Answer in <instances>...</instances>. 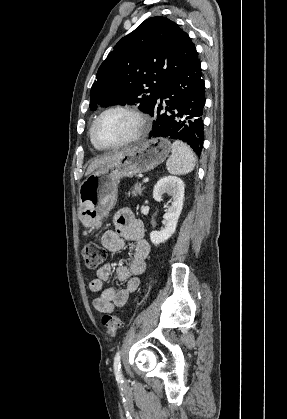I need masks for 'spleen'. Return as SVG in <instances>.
<instances>
[{
	"instance_id": "obj_1",
	"label": "spleen",
	"mask_w": 287,
	"mask_h": 419,
	"mask_svg": "<svg viewBox=\"0 0 287 419\" xmlns=\"http://www.w3.org/2000/svg\"><path fill=\"white\" fill-rule=\"evenodd\" d=\"M172 154L166 162L167 170L173 175H185L195 168L196 158L189 146L180 141L173 142Z\"/></svg>"
}]
</instances>
